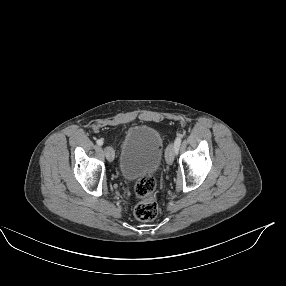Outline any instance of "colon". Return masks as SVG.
<instances>
[{
	"label": "colon",
	"mask_w": 286,
	"mask_h": 286,
	"mask_svg": "<svg viewBox=\"0 0 286 286\" xmlns=\"http://www.w3.org/2000/svg\"><path fill=\"white\" fill-rule=\"evenodd\" d=\"M154 189L155 179L151 176L141 178L135 184L136 195L142 198V200L135 205L134 215L141 221L152 220L158 214V204L152 197Z\"/></svg>",
	"instance_id": "1"
}]
</instances>
